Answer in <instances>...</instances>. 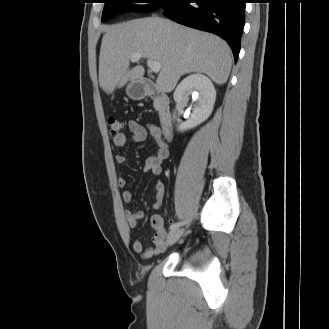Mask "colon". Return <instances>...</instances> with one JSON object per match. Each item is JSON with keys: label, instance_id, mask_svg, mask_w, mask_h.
I'll return each mask as SVG.
<instances>
[{"label": "colon", "instance_id": "colon-1", "mask_svg": "<svg viewBox=\"0 0 329 329\" xmlns=\"http://www.w3.org/2000/svg\"><path fill=\"white\" fill-rule=\"evenodd\" d=\"M109 132L112 137L119 136L125 131V124L122 120L111 117L108 120Z\"/></svg>", "mask_w": 329, "mask_h": 329}]
</instances>
